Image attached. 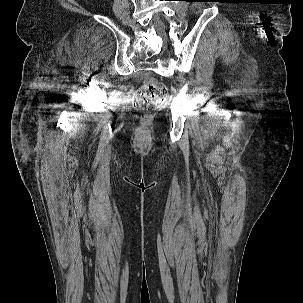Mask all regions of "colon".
Returning a JSON list of instances; mask_svg holds the SVG:
<instances>
[{
    "label": "colon",
    "mask_w": 303,
    "mask_h": 303,
    "mask_svg": "<svg viewBox=\"0 0 303 303\" xmlns=\"http://www.w3.org/2000/svg\"><path fill=\"white\" fill-rule=\"evenodd\" d=\"M167 94V87L150 77L138 87L135 102L140 109L151 111L165 102Z\"/></svg>",
    "instance_id": "1"
}]
</instances>
